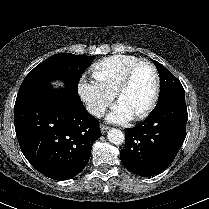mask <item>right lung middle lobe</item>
Wrapping results in <instances>:
<instances>
[{
    "label": "right lung middle lobe",
    "mask_w": 209,
    "mask_h": 209,
    "mask_svg": "<svg viewBox=\"0 0 209 209\" xmlns=\"http://www.w3.org/2000/svg\"><path fill=\"white\" fill-rule=\"evenodd\" d=\"M91 61V56L55 54L28 73L19 88L17 97L36 87L50 84L56 78L63 80L72 90L78 91L80 77Z\"/></svg>",
    "instance_id": "obj_1"
}]
</instances>
